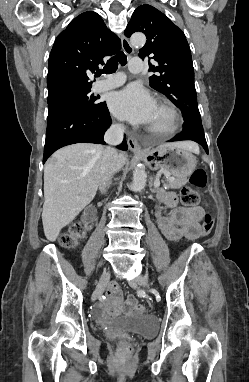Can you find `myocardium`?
Wrapping results in <instances>:
<instances>
[{
	"label": "myocardium",
	"mask_w": 249,
	"mask_h": 382,
	"mask_svg": "<svg viewBox=\"0 0 249 382\" xmlns=\"http://www.w3.org/2000/svg\"><path fill=\"white\" fill-rule=\"evenodd\" d=\"M157 106L164 109L168 113L169 115L168 125L160 131H156L149 127H147L146 130L152 136L167 138L173 135L177 131L180 124V116L176 107L169 101L161 100L157 103Z\"/></svg>",
	"instance_id": "f54148a6"
}]
</instances>
